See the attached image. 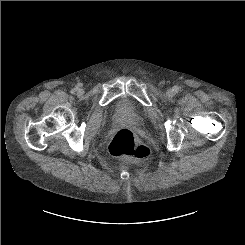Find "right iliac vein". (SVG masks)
I'll return each instance as SVG.
<instances>
[{
	"instance_id": "1",
	"label": "right iliac vein",
	"mask_w": 245,
	"mask_h": 245,
	"mask_svg": "<svg viewBox=\"0 0 245 245\" xmlns=\"http://www.w3.org/2000/svg\"><path fill=\"white\" fill-rule=\"evenodd\" d=\"M78 94L79 95H82V90H78Z\"/></svg>"
}]
</instances>
